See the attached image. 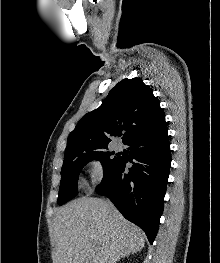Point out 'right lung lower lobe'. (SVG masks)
<instances>
[{
  "label": "right lung lower lobe",
  "instance_id": "right-lung-lower-lobe-1",
  "mask_svg": "<svg viewBox=\"0 0 220 263\" xmlns=\"http://www.w3.org/2000/svg\"><path fill=\"white\" fill-rule=\"evenodd\" d=\"M129 162H118L104 175L96 192L107 196L122 215L138 225L152 244L163 212L164 196L171 164L167 131L157 135H140L130 141Z\"/></svg>",
  "mask_w": 220,
  "mask_h": 263
}]
</instances>
